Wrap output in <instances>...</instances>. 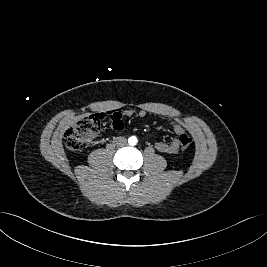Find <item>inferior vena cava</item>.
I'll return each mask as SVG.
<instances>
[{"label": "inferior vena cava", "instance_id": "inferior-vena-cava-1", "mask_svg": "<svg viewBox=\"0 0 267 267\" xmlns=\"http://www.w3.org/2000/svg\"><path fill=\"white\" fill-rule=\"evenodd\" d=\"M127 140L124 137H117L116 138V144L118 146H124L126 144Z\"/></svg>", "mask_w": 267, "mask_h": 267}]
</instances>
